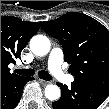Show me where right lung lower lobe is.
Instances as JSON below:
<instances>
[{
	"mask_svg": "<svg viewBox=\"0 0 109 109\" xmlns=\"http://www.w3.org/2000/svg\"><path fill=\"white\" fill-rule=\"evenodd\" d=\"M32 79L18 76L1 83V109H14L20 101L24 85Z\"/></svg>",
	"mask_w": 109,
	"mask_h": 109,
	"instance_id": "obj_1",
	"label": "right lung lower lobe"
}]
</instances>
